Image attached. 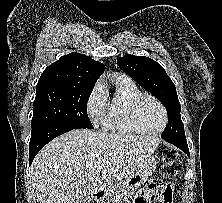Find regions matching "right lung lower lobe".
Returning a JSON list of instances; mask_svg holds the SVG:
<instances>
[{
    "label": "right lung lower lobe",
    "instance_id": "1",
    "mask_svg": "<svg viewBox=\"0 0 222 203\" xmlns=\"http://www.w3.org/2000/svg\"><path fill=\"white\" fill-rule=\"evenodd\" d=\"M78 128L85 127L73 123H49L33 128L29 143V165L48 142L65 132Z\"/></svg>",
    "mask_w": 222,
    "mask_h": 203
}]
</instances>
